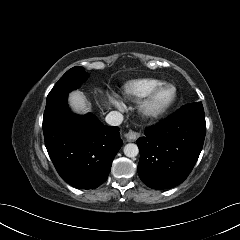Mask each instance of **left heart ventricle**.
I'll return each mask as SVG.
<instances>
[{
	"label": "left heart ventricle",
	"mask_w": 240,
	"mask_h": 240,
	"mask_svg": "<svg viewBox=\"0 0 240 240\" xmlns=\"http://www.w3.org/2000/svg\"><path fill=\"white\" fill-rule=\"evenodd\" d=\"M170 96H171L170 90H166V91L162 92L157 98V103L165 102Z\"/></svg>",
	"instance_id": "b2bd125f"
}]
</instances>
